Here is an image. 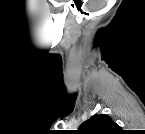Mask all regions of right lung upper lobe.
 Segmentation results:
<instances>
[{
    "instance_id": "right-lung-upper-lobe-1",
    "label": "right lung upper lobe",
    "mask_w": 145,
    "mask_h": 134,
    "mask_svg": "<svg viewBox=\"0 0 145 134\" xmlns=\"http://www.w3.org/2000/svg\"><path fill=\"white\" fill-rule=\"evenodd\" d=\"M120 127L108 115H93L81 124L77 134H117Z\"/></svg>"
}]
</instances>
